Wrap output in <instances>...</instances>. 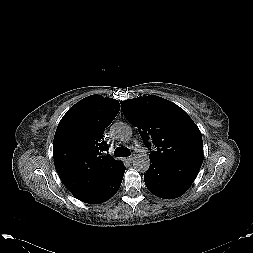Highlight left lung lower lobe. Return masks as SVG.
<instances>
[{
  "instance_id": "0a47b994",
  "label": "left lung lower lobe",
  "mask_w": 253,
  "mask_h": 253,
  "mask_svg": "<svg viewBox=\"0 0 253 253\" xmlns=\"http://www.w3.org/2000/svg\"><path fill=\"white\" fill-rule=\"evenodd\" d=\"M202 164L182 159H150L144 174L149 191L164 199H174L184 194L195 180Z\"/></svg>"
}]
</instances>
